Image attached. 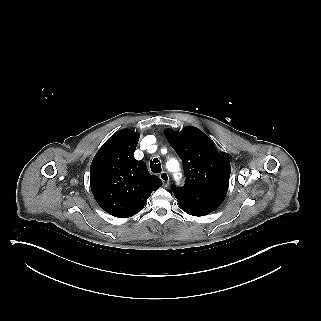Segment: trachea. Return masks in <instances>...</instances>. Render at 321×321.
I'll return each instance as SVG.
<instances>
[{"label":"trachea","mask_w":321,"mask_h":321,"mask_svg":"<svg viewBox=\"0 0 321 321\" xmlns=\"http://www.w3.org/2000/svg\"><path fill=\"white\" fill-rule=\"evenodd\" d=\"M150 168L153 173H161L162 168H161V163L158 158H154L150 162Z\"/></svg>","instance_id":"trachea-1"}]
</instances>
